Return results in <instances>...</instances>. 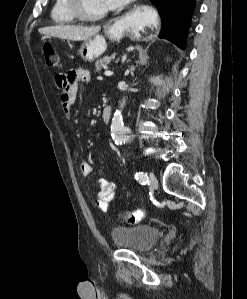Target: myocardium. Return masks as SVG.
<instances>
[{"label":"myocardium","instance_id":"myocardium-1","mask_svg":"<svg viewBox=\"0 0 247 299\" xmlns=\"http://www.w3.org/2000/svg\"><path fill=\"white\" fill-rule=\"evenodd\" d=\"M68 6L72 14L79 20L82 21H97L105 17L108 10L105 9L98 13H89L85 9L83 0H67Z\"/></svg>","mask_w":247,"mask_h":299}]
</instances>
